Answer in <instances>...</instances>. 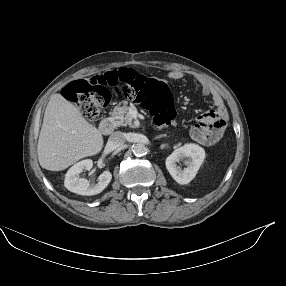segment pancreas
<instances>
[{
	"instance_id": "1",
	"label": "pancreas",
	"mask_w": 286,
	"mask_h": 286,
	"mask_svg": "<svg viewBox=\"0 0 286 286\" xmlns=\"http://www.w3.org/2000/svg\"><path fill=\"white\" fill-rule=\"evenodd\" d=\"M112 118L118 126H131L133 117L129 113V106L126 101L120 102L112 111Z\"/></svg>"
}]
</instances>
